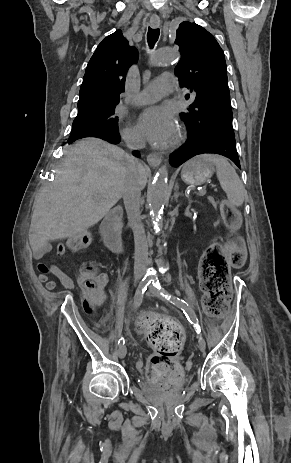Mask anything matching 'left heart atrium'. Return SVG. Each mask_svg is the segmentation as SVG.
<instances>
[{
    "label": "left heart atrium",
    "mask_w": 291,
    "mask_h": 463,
    "mask_svg": "<svg viewBox=\"0 0 291 463\" xmlns=\"http://www.w3.org/2000/svg\"><path fill=\"white\" fill-rule=\"evenodd\" d=\"M142 135L155 145H164L172 140L176 126L171 114L161 106L145 109L138 118Z\"/></svg>",
    "instance_id": "obj_1"
}]
</instances>
